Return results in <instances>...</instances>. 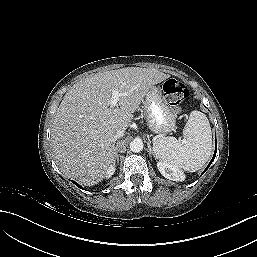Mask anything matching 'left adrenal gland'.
<instances>
[{
  "label": "left adrenal gland",
  "instance_id": "1",
  "mask_svg": "<svg viewBox=\"0 0 257 257\" xmlns=\"http://www.w3.org/2000/svg\"><path fill=\"white\" fill-rule=\"evenodd\" d=\"M148 148H149V154L151 155L153 152H152V148H151L150 142H148Z\"/></svg>",
  "mask_w": 257,
  "mask_h": 257
}]
</instances>
